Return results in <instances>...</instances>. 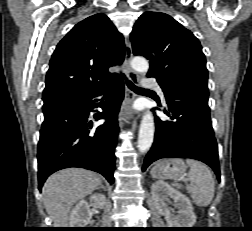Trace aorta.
Masks as SVG:
<instances>
[{
	"instance_id": "762f6f07",
	"label": "aorta",
	"mask_w": 252,
	"mask_h": 231,
	"mask_svg": "<svg viewBox=\"0 0 252 231\" xmlns=\"http://www.w3.org/2000/svg\"><path fill=\"white\" fill-rule=\"evenodd\" d=\"M131 67L139 73H147L149 64L143 57H134L131 61ZM154 131V117L150 111H146L142 117L138 134V149L141 153H146L151 148Z\"/></svg>"
}]
</instances>
